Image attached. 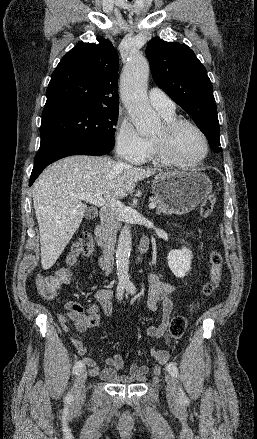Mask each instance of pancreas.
<instances>
[{"label":"pancreas","mask_w":257,"mask_h":439,"mask_svg":"<svg viewBox=\"0 0 257 439\" xmlns=\"http://www.w3.org/2000/svg\"><path fill=\"white\" fill-rule=\"evenodd\" d=\"M151 199L153 202H155L158 205L157 209H156V214L163 213V214L168 215V214L172 213V210L170 209V207L165 202H163L161 199H159L158 197H152Z\"/></svg>","instance_id":"1"}]
</instances>
